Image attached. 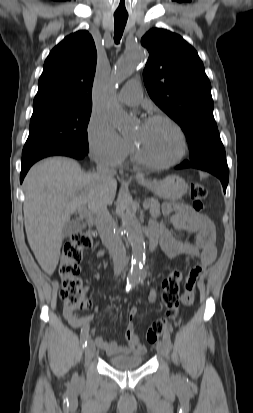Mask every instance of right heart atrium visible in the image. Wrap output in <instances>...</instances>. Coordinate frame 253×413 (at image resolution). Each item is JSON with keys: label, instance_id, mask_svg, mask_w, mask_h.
<instances>
[{"label": "right heart atrium", "instance_id": "right-heart-atrium-1", "mask_svg": "<svg viewBox=\"0 0 253 413\" xmlns=\"http://www.w3.org/2000/svg\"><path fill=\"white\" fill-rule=\"evenodd\" d=\"M91 157L98 163L119 165L130 152V144L102 116L93 114L87 127Z\"/></svg>", "mask_w": 253, "mask_h": 413}]
</instances>
